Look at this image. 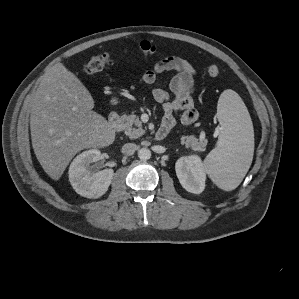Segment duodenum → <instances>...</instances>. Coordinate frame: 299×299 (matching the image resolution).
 I'll use <instances>...</instances> for the list:
<instances>
[{
    "label": "duodenum",
    "instance_id": "410a0bca",
    "mask_svg": "<svg viewBox=\"0 0 299 299\" xmlns=\"http://www.w3.org/2000/svg\"><path fill=\"white\" fill-rule=\"evenodd\" d=\"M108 125L111 130L118 131V129L120 127V116L117 112H112L109 115ZM168 133L169 132L165 128L160 127L155 134V138L157 140H163L168 135Z\"/></svg>",
    "mask_w": 299,
    "mask_h": 299
}]
</instances>
